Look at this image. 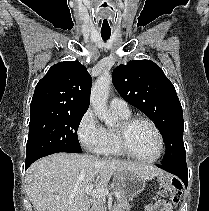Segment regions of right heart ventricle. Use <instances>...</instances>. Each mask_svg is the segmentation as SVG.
Returning a JSON list of instances; mask_svg holds the SVG:
<instances>
[{
  "mask_svg": "<svg viewBox=\"0 0 209 211\" xmlns=\"http://www.w3.org/2000/svg\"><path fill=\"white\" fill-rule=\"evenodd\" d=\"M120 119L125 120L131 117V114L117 113ZM105 135L102 144L97 153L106 158H122L124 154L120 150L117 138V129L113 127L104 128Z\"/></svg>",
  "mask_w": 209,
  "mask_h": 211,
  "instance_id": "1",
  "label": "right heart ventricle"
}]
</instances>
